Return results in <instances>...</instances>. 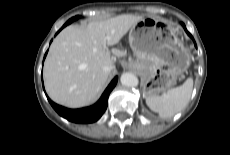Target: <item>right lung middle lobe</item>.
Instances as JSON below:
<instances>
[{
    "instance_id": "dd1d6c3e",
    "label": "right lung middle lobe",
    "mask_w": 230,
    "mask_h": 155,
    "mask_svg": "<svg viewBox=\"0 0 230 155\" xmlns=\"http://www.w3.org/2000/svg\"><path fill=\"white\" fill-rule=\"evenodd\" d=\"M78 18H79V16H75V17L71 18L70 20H68L64 25H68L71 22H73L74 20H77Z\"/></svg>"
}]
</instances>
